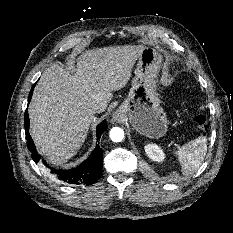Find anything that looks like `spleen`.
Wrapping results in <instances>:
<instances>
[{"label": "spleen", "instance_id": "3e777b00", "mask_svg": "<svg viewBox=\"0 0 233 233\" xmlns=\"http://www.w3.org/2000/svg\"><path fill=\"white\" fill-rule=\"evenodd\" d=\"M207 152V139L204 136L189 141L173 153L181 165L183 176L193 175L201 166Z\"/></svg>", "mask_w": 233, "mask_h": 233}]
</instances>
